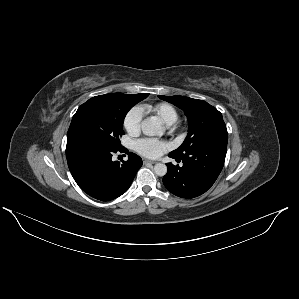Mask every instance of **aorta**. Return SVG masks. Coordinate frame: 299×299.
Masks as SVG:
<instances>
[{"mask_svg": "<svg viewBox=\"0 0 299 299\" xmlns=\"http://www.w3.org/2000/svg\"><path fill=\"white\" fill-rule=\"evenodd\" d=\"M141 128L146 136H161L163 134L161 125L154 118L145 119L141 124ZM154 172L158 176H164L167 173V166L163 163H157L154 166Z\"/></svg>", "mask_w": 299, "mask_h": 299, "instance_id": "obj_1", "label": "aorta"}]
</instances>
